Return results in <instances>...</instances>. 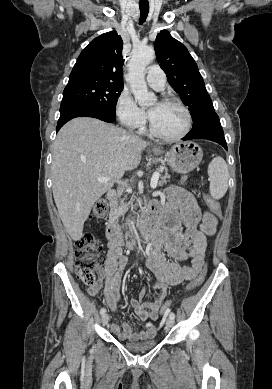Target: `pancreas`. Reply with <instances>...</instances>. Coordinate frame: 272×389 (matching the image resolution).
<instances>
[{
    "label": "pancreas",
    "instance_id": "cf45deb5",
    "mask_svg": "<svg viewBox=\"0 0 272 389\" xmlns=\"http://www.w3.org/2000/svg\"><path fill=\"white\" fill-rule=\"evenodd\" d=\"M160 171H164V175L161 177V181L159 182L160 185H163V183H167L170 175L165 167L161 168ZM127 210L128 203L125 199L119 197L118 200L111 204L110 218L118 219L120 216H123Z\"/></svg>",
    "mask_w": 272,
    "mask_h": 389
}]
</instances>
